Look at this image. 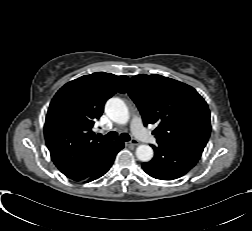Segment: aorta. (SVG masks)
Listing matches in <instances>:
<instances>
[{"mask_svg": "<svg viewBox=\"0 0 252 231\" xmlns=\"http://www.w3.org/2000/svg\"><path fill=\"white\" fill-rule=\"evenodd\" d=\"M107 116L117 124H126L129 120V111L123 100L111 98L105 105ZM153 149L149 145H139L136 148V157L142 162H148L153 158Z\"/></svg>", "mask_w": 252, "mask_h": 231, "instance_id": "762f6f07", "label": "aorta"}]
</instances>
